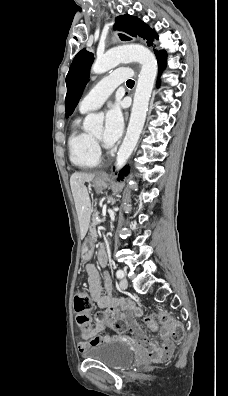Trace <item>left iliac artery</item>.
<instances>
[{
	"label": "left iliac artery",
	"instance_id": "left-iliac-artery-1",
	"mask_svg": "<svg viewBox=\"0 0 228 396\" xmlns=\"http://www.w3.org/2000/svg\"><path fill=\"white\" fill-rule=\"evenodd\" d=\"M116 276H117L118 279L123 278L124 277V272L119 269L116 272Z\"/></svg>",
	"mask_w": 228,
	"mask_h": 396
}]
</instances>
